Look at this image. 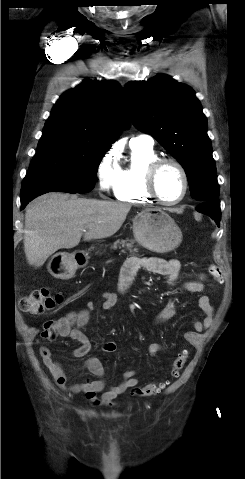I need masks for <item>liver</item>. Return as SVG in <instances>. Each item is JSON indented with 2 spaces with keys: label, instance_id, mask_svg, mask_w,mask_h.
I'll return each mask as SVG.
<instances>
[{
  "label": "liver",
  "instance_id": "obj_1",
  "mask_svg": "<svg viewBox=\"0 0 245 479\" xmlns=\"http://www.w3.org/2000/svg\"><path fill=\"white\" fill-rule=\"evenodd\" d=\"M128 203L70 197L58 193L36 198L25 213L24 251L30 265L41 267L57 250L114 235L124 223Z\"/></svg>",
  "mask_w": 245,
  "mask_h": 479
}]
</instances>
